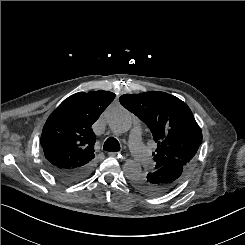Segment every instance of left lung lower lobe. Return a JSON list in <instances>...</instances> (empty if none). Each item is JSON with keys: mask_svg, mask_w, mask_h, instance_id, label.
Listing matches in <instances>:
<instances>
[{"mask_svg": "<svg viewBox=\"0 0 245 245\" xmlns=\"http://www.w3.org/2000/svg\"><path fill=\"white\" fill-rule=\"evenodd\" d=\"M188 168L172 164L160 167L147 175H139L130 178V189L139 191L146 196L154 197L169 193L183 180Z\"/></svg>", "mask_w": 245, "mask_h": 245, "instance_id": "0a47b994", "label": "left lung lower lobe"}]
</instances>
